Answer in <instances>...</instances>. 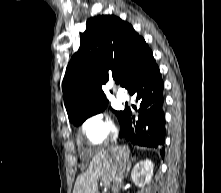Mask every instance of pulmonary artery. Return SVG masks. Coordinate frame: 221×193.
<instances>
[{"instance_id":"pulmonary-artery-1","label":"pulmonary artery","mask_w":221,"mask_h":193,"mask_svg":"<svg viewBox=\"0 0 221 193\" xmlns=\"http://www.w3.org/2000/svg\"><path fill=\"white\" fill-rule=\"evenodd\" d=\"M117 98L120 101H127L129 99V96L126 92H124L123 90H118L117 91Z\"/></svg>"}]
</instances>
